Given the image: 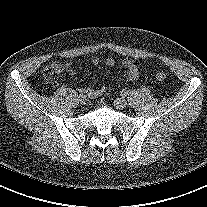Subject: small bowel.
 Returning a JSON list of instances; mask_svg holds the SVG:
<instances>
[{
    "instance_id": "small-bowel-1",
    "label": "small bowel",
    "mask_w": 207,
    "mask_h": 207,
    "mask_svg": "<svg viewBox=\"0 0 207 207\" xmlns=\"http://www.w3.org/2000/svg\"><path fill=\"white\" fill-rule=\"evenodd\" d=\"M91 62L94 64V65H97L99 63V59L96 58V57H93L91 59ZM54 65H57L59 67V73L65 69L68 74L70 75H75L76 71L75 69L73 68L72 64L71 63H66L64 65L58 63V62H55L53 63ZM106 64L108 66H113L115 64V61L113 58L109 57L106 59ZM122 66L125 68V73H124V77L127 81H134L136 80L138 77H139V69H138V66L136 65V63L130 59V58H127L125 60L122 61ZM108 90L107 87L105 86H101V87H91V88H88V93L89 95L92 97V98H97L99 96H101L103 93H105L106 91Z\"/></svg>"
}]
</instances>
